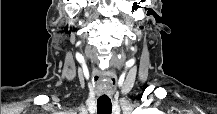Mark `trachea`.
<instances>
[{
	"label": "trachea",
	"mask_w": 217,
	"mask_h": 114,
	"mask_svg": "<svg viewBox=\"0 0 217 114\" xmlns=\"http://www.w3.org/2000/svg\"><path fill=\"white\" fill-rule=\"evenodd\" d=\"M112 103L110 98H98L97 112L98 114H111Z\"/></svg>",
	"instance_id": "trachea-1"
}]
</instances>
